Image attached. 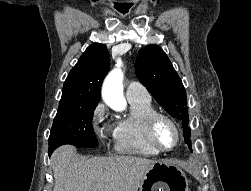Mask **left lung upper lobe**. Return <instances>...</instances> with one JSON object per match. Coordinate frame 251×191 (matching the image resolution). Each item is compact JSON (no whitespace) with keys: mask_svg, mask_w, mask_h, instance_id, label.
<instances>
[{"mask_svg":"<svg viewBox=\"0 0 251 191\" xmlns=\"http://www.w3.org/2000/svg\"><path fill=\"white\" fill-rule=\"evenodd\" d=\"M135 71L155 100L173 117L182 120L184 140L192 151L186 91L166 53L157 45L142 48Z\"/></svg>","mask_w":251,"mask_h":191,"instance_id":"5c2ea615","label":"left lung upper lobe"}]
</instances>
